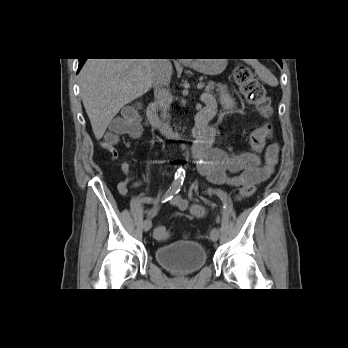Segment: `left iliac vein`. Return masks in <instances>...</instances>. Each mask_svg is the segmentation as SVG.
<instances>
[{
  "label": "left iliac vein",
  "mask_w": 348,
  "mask_h": 348,
  "mask_svg": "<svg viewBox=\"0 0 348 348\" xmlns=\"http://www.w3.org/2000/svg\"><path fill=\"white\" fill-rule=\"evenodd\" d=\"M210 239L213 242H216L219 239V230L217 228H213L210 232Z\"/></svg>",
  "instance_id": "obj_1"
}]
</instances>
